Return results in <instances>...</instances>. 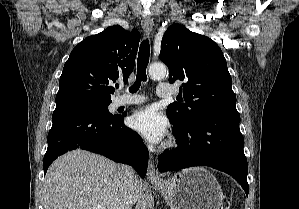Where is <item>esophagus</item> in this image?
I'll return each instance as SVG.
<instances>
[{"label": "esophagus", "mask_w": 299, "mask_h": 209, "mask_svg": "<svg viewBox=\"0 0 299 209\" xmlns=\"http://www.w3.org/2000/svg\"><path fill=\"white\" fill-rule=\"evenodd\" d=\"M141 26H142L144 32L147 35H149L153 28V23H152L151 18L144 17L141 21ZM147 178L149 180H153V181L161 180V177L155 168L152 156L150 157L149 162H148Z\"/></svg>", "instance_id": "esophagus-1"}]
</instances>
